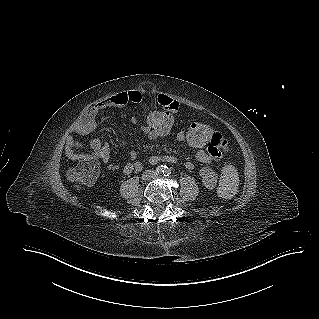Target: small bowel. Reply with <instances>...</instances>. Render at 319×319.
<instances>
[{
  "instance_id": "1",
  "label": "small bowel",
  "mask_w": 319,
  "mask_h": 319,
  "mask_svg": "<svg viewBox=\"0 0 319 319\" xmlns=\"http://www.w3.org/2000/svg\"><path fill=\"white\" fill-rule=\"evenodd\" d=\"M142 101L143 94L138 90H130L111 95L83 112L79 119L73 124L71 132L78 135H87L92 131L95 119L102 111L112 108H121L128 104H138ZM179 107V99H171L165 95H158L156 98V108H164L165 113H177ZM185 133L186 130H182L177 133L176 139L178 142L187 143ZM220 136L221 131L219 129H214L209 138L212 148L205 151L196 149V159L204 164V166L200 169L199 175L204 186L208 189H214L219 179L217 172L211 167V164L213 162L221 161L224 153L227 150V145ZM85 147L86 146L83 143L75 140L72 135H69L66 138L65 150L69 158H77V154L73 152V149ZM88 147L91 150L92 155L97 159L104 162L109 160V147L100 138H93L89 142ZM129 154L130 163L124 167V173L126 174L141 168V163L136 159V150L131 149ZM149 162L151 164H157L161 162L174 163L176 162V158L172 156L154 155L149 158ZM184 166L187 170L194 169V164L192 162H186Z\"/></svg>"
}]
</instances>
